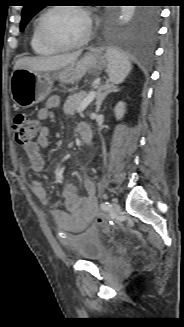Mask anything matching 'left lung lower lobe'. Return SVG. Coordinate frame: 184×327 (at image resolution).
Returning <instances> with one entry per match:
<instances>
[{
    "label": "left lung lower lobe",
    "instance_id": "0a47b994",
    "mask_svg": "<svg viewBox=\"0 0 184 327\" xmlns=\"http://www.w3.org/2000/svg\"><path fill=\"white\" fill-rule=\"evenodd\" d=\"M158 17L156 7H143L132 25L112 34V47L121 52L150 54L157 34Z\"/></svg>",
    "mask_w": 184,
    "mask_h": 327
}]
</instances>
